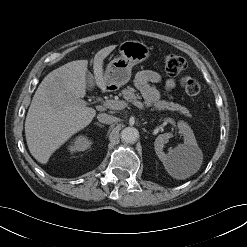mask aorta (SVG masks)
<instances>
[{"label":"aorta","mask_w":247,"mask_h":247,"mask_svg":"<svg viewBox=\"0 0 247 247\" xmlns=\"http://www.w3.org/2000/svg\"><path fill=\"white\" fill-rule=\"evenodd\" d=\"M139 138V131L134 127H126L121 131V139L126 143H134Z\"/></svg>","instance_id":"obj_1"}]
</instances>
